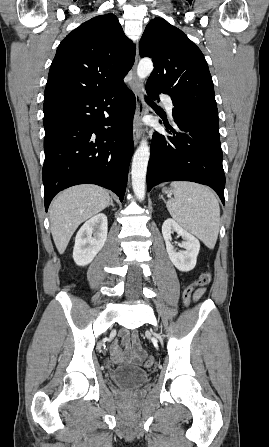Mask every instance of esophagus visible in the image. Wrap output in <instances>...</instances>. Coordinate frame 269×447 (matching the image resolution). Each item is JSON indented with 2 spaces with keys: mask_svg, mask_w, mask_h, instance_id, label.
Returning a JSON list of instances; mask_svg holds the SVG:
<instances>
[{
  "mask_svg": "<svg viewBox=\"0 0 269 447\" xmlns=\"http://www.w3.org/2000/svg\"><path fill=\"white\" fill-rule=\"evenodd\" d=\"M139 59V49L138 45L136 47V56H135V62L132 67V80H131V90L134 92L135 99H136V110L133 120V138H134V145H137L141 136H142V117L144 114L145 106L143 103L142 93H141V85L138 81L137 75H136V69H137V63Z\"/></svg>",
  "mask_w": 269,
  "mask_h": 447,
  "instance_id": "1",
  "label": "esophagus"
}]
</instances>
